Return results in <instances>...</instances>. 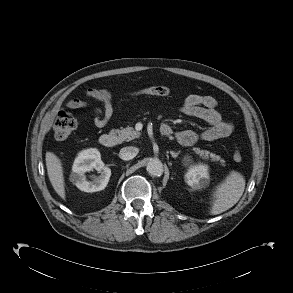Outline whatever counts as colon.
<instances>
[{"label":"colon","instance_id":"5ec220e1","mask_svg":"<svg viewBox=\"0 0 293 293\" xmlns=\"http://www.w3.org/2000/svg\"><path fill=\"white\" fill-rule=\"evenodd\" d=\"M170 93V89L166 86H150L133 92V94L135 95L156 96H167ZM76 126L77 122L73 114L66 110H61L58 112L53 124L54 136L59 140H65L75 130ZM233 158L236 162L242 161V154L239 150L238 145H235Z\"/></svg>","mask_w":293,"mask_h":293}]
</instances>
